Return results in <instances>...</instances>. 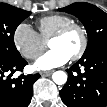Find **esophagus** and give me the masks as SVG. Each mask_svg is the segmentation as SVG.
I'll list each match as a JSON object with an SVG mask.
<instances>
[{"mask_svg":"<svg viewBox=\"0 0 107 107\" xmlns=\"http://www.w3.org/2000/svg\"><path fill=\"white\" fill-rule=\"evenodd\" d=\"M52 73H53V71H43L40 74L42 77H48V76L52 75Z\"/></svg>","mask_w":107,"mask_h":107,"instance_id":"obj_1","label":"esophagus"}]
</instances>
